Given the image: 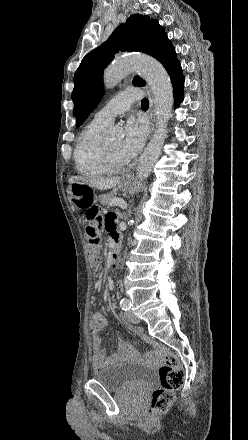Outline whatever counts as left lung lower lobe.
Instances as JSON below:
<instances>
[{"label":"left lung lower lobe","instance_id":"0a47b994","mask_svg":"<svg viewBox=\"0 0 248 440\" xmlns=\"http://www.w3.org/2000/svg\"><path fill=\"white\" fill-rule=\"evenodd\" d=\"M173 94L175 98L174 106L177 107L183 100L184 77L183 74H176L171 77Z\"/></svg>","mask_w":248,"mask_h":440}]
</instances>
